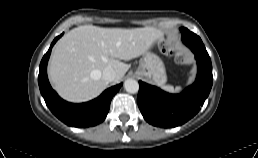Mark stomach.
Here are the masks:
<instances>
[{"label": "stomach", "instance_id": "1", "mask_svg": "<svg viewBox=\"0 0 258 158\" xmlns=\"http://www.w3.org/2000/svg\"><path fill=\"white\" fill-rule=\"evenodd\" d=\"M135 74L160 86L167 80L162 60L149 51L143 55Z\"/></svg>", "mask_w": 258, "mask_h": 158}]
</instances>
